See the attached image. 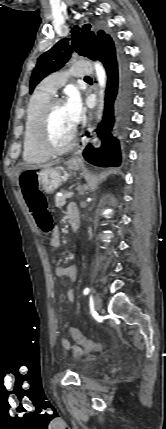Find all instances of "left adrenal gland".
I'll return each instance as SVG.
<instances>
[{"label": "left adrenal gland", "instance_id": "a2214340", "mask_svg": "<svg viewBox=\"0 0 166 429\" xmlns=\"http://www.w3.org/2000/svg\"><path fill=\"white\" fill-rule=\"evenodd\" d=\"M80 194H84V190L80 189Z\"/></svg>", "mask_w": 166, "mask_h": 429}]
</instances>
